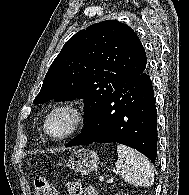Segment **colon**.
<instances>
[{
  "mask_svg": "<svg viewBox=\"0 0 189 195\" xmlns=\"http://www.w3.org/2000/svg\"><path fill=\"white\" fill-rule=\"evenodd\" d=\"M34 192L35 195H56L55 188L44 178L37 177L34 180ZM67 190L70 195H80L81 187L77 183H69Z\"/></svg>",
  "mask_w": 189,
  "mask_h": 195,
  "instance_id": "colon-1",
  "label": "colon"
}]
</instances>
